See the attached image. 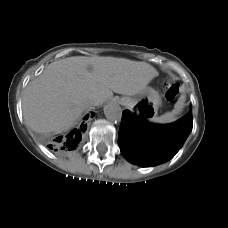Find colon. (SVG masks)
Listing matches in <instances>:
<instances>
[{
    "mask_svg": "<svg viewBox=\"0 0 228 228\" xmlns=\"http://www.w3.org/2000/svg\"><path fill=\"white\" fill-rule=\"evenodd\" d=\"M179 94V86L176 83H168L166 88V98L170 101L174 100Z\"/></svg>",
    "mask_w": 228,
    "mask_h": 228,
    "instance_id": "5ec220e1",
    "label": "colon"
}]
</instances>
